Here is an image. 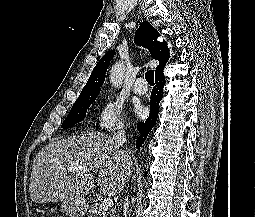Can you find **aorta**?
I'll list each match as a JSON object with an SVG mask.
<instances>
[{
  "label": "aorta",
  "mask_w": 255,
  "mask_h": 217,
  "mask_svg": "<svg viewBox=\"0 0 255 217\" xmlns=\"http://www.w3.org/2000/svg\"><path fill=\"white\" fill-rule=\"evenodd\" d=\"M123 64L121 62L115 63L110 71V82L115 87H120L123 80Z\"/></svg>",
  "instance_id": "1"
}]
</instances>
